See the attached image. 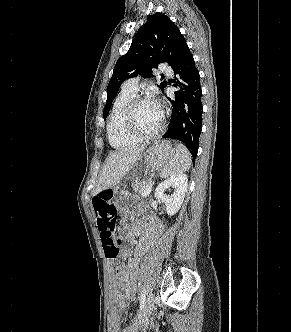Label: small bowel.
<instances>
[{"instance_id":"obj_1","label":"small bowel","mask_w":291,"mask_h":332,"mask_svg":"<svg viewBox=\"0 0 291 332\" xmlns=\"http://www.w3.org/2000/svg\"><path fill=\"white\" fill-rule=\"evenodd\" d=\"M110 192V190H105ZM118 243L121 258L129 257V247L135 245L133 255L129 257L126 266L116 269L115 280L111 293L114 308L125 309L136 291L137 272L141 258L148 252L160 235V227L155 221H148L144 225L127 224L122 220ZM135 236H139L136 241Z\"/></svg>"}]
</instances>
